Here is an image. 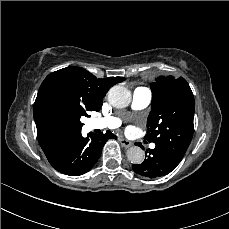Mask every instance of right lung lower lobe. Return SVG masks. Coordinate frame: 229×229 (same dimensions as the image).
Segmentation results:
<instances>
[{
	"label": "right lung lower lobe",
	"instance_id": "obj_1",
	"mask_svg": "<svg viewBox=\"0 0 229 229\" xmlns=\"http://www.w3.org/2000/svg\"><path fill=\"white\" fill-rule=\"evenodd\" d=\"M109 138L117 137L110 131L105 134H88L82 137L81 131L63 142L50 158V164L59 172L79 176L89 171L99 159L102 148Z\"/></svg>",
	"mask_w": 229,
	"mask_h": 229
}]
</instances>
